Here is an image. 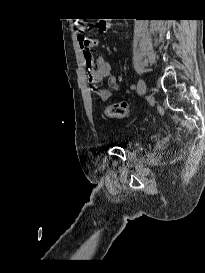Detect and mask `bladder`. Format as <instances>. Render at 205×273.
I'll return each instance as SVG.
<instances>
[{
  "label": "bladder",
  "instance_id": "obj_1",
  "mask_svg": "<svg viewBox=\"0 0 205 273\" xmlns=\"http://www.w3.org/2000/svg\"><path fill=\"white\" fill-rule=\"evenodd\" d=\"M125 138L135 140V139H137V135L132 132H127V133H124L118 137V139H125Z\"/></svg>",
  "mask_w": 205,
  "mask_h": 273
}]
</instances>
